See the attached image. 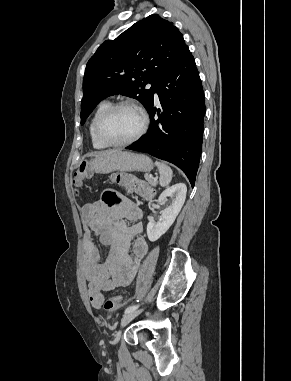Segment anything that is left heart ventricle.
Masks as SVG:
<instances>
[{"instance_id": "b2bd125f", "label": "left heart ventricle", "mask_w": 291, "mask_h": 381, "mask_svg": "<svg viewBox=\"0 0 291 381\" xmlns=\"http://www.w3.org/2000/svg\"><path fill=\"white\" fill-rule=\"evenodd\" d=\"M141 126L139 113L128 107L112 113L103 124V132L112 141L121 142L133 137Z\"/></svg>"}]
</instances>
